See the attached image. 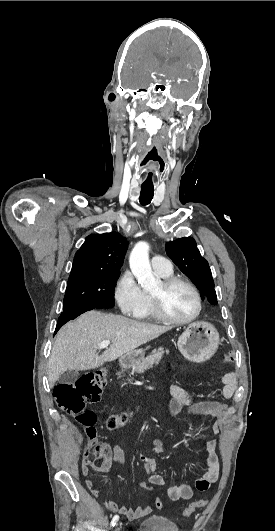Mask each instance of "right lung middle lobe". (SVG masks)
I'll return each mask as SVG.
<instances>
[{
	"label": "right lung middle lobe",
	"instance_id": "dd1d6c3e",
	"mask_svg": "<svg viewBox=\"0 0 275 531\" xmlns=\"http://www.w3.org/2000/svg\"><path fill=\"white\" fill-rule=\"evenodd\" d=\"M120 273L91 272L70 275L63 310L71 308H112L114 289Z\"/></svg>",
	"mask_w": 275,
	"mask_h": 531
}]
</instances>
